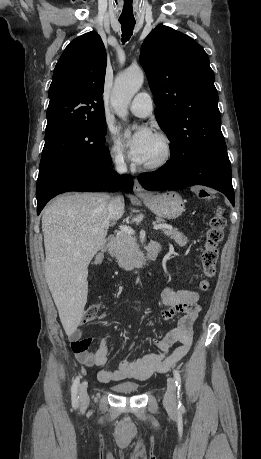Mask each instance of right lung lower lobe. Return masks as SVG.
I'll return each instance as SVG.
<instances>
[{"label": "right lung lower lobe", "instance_id": "98d812e1", "mask_svg": "<svg viewBox=\"0 0 261 459\" xmlns=\"http://www.w3.org/2000/svg\"><path fill=\"white\" fill-rule=\"evenodd\" d=\"M112 164V162H111ZM81 166L62 172L36 189L37 213L56 195L68 191L131 192L133 180L129 175L119 176L110 166Z\"/></svg>", "mask_w": 261, "mask_h": 459}]
</instances>
